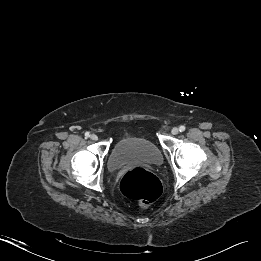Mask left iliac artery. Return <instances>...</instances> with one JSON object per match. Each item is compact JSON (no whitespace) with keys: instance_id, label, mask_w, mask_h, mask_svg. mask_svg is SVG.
<instances>
[{"instance_id":"1","label":"left iliac artery","mask_w":261,"mask_h":261,"mask_svg":"<svg viewBox=\"0 0 261 261\" xmlns=\"http://www.w3.org/2000/svg\"><path fill=\"white\" fill-rule=\"evenodd\" d=\"M185 129H186V128H185V126H183V125L179 127V131H180V132L185 131Z\"/></svg>"}]
</instances>
